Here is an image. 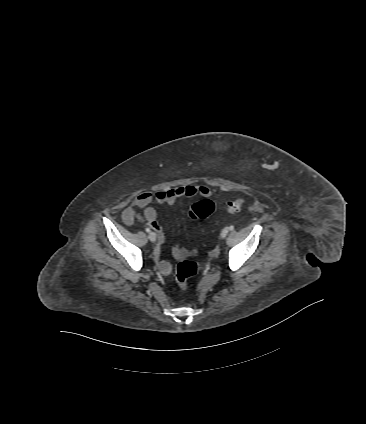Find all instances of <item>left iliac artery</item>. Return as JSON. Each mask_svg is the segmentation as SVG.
I'll use <instances>...</instances> for the list:
<instances>
[{
	"mask_svg": "<svg viewBox=\"0 0 366 424\" xmlns=\"http://www.w3.org/2000/svg\"><path fill=\"white\" fill-rule=\"evenodd\" d=\"M229 230H233L234 229V226L233 225H231V226H229V228H228Z\"/></svg>",
	"mask_w": 366,
	"mask_h": 424,
	"instance_id": "1",
	"label": "left iliac artery"
}]
</instances>
